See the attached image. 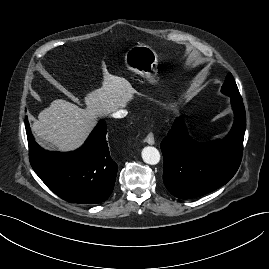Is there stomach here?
<instances>
[{
    "instance_id": "obj_1",
    "label": "stomach",
    "mask_w": 269,
    "mask_h": 269,
    "mask_svg": "<svg viewBox=\"0 0 269 269\" xmlns=\"http://www.w3.org/2000/svg\"><path fill=\"white\" fill-rule=\"evenodd\" d=\"M125 64L129 70L153 81L157 72L158 55L150 46H133L125 54Z\"/></svg>"
}]
</instances>
